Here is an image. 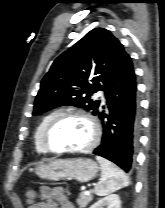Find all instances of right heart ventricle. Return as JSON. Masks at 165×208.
Here are the masks:
<instances>
[{"mask_svg":"<svg viewBox=\"0 0 165 208\" xmlns=\"http://www.w3.org/2000/svg\"><path fill=\"white\" fill-rule=\"evenodd\" d=\"M61 112V110L57 109V110H53L51 112H49L48 114H46L41 121L39 122V124L37 125L35 132H34V146L35 149L38 153H42V154H46L48 153V151L46 150V148L44 147L43 144V140H42V136H43V131L45 129V127L47 126V124L59 113Z\"/></svg>","mask_w":165,"mask_h":208,"instance_id":"e07e8e85","label":"right heart ventricle"}]
</instances>
